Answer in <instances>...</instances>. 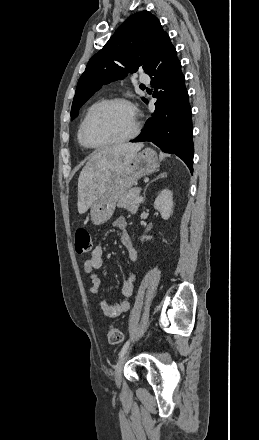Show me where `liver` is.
I'll list each match as a JSON object with an SVG mask.
<instances>
[{"label":"liver","instance_id":"6515ba94","mask_svg":"<svg viewBox=\"0 0 259 440\" xmlns=\"http://www.w3.org/2000/svg\"><path fill=\"white\" fill-rule=\"evenodd\" d=\"M143 148L142 143H124L95 153L82 169L78 179V212L85 213L102 196L112 179Z\"/></svg>","mask_w":259,"mask_h":440}]
</instances>
